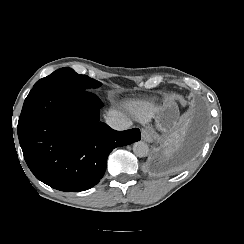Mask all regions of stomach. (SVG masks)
<instances>
[{
	"label": "stomach",
	"instance_id": "obj_1",
	"mask_svg": "<svg viewBox=\"0 0 244 244\" xmlns=\"http://www.w3.org/2000/svg\"><path fill=\"white\" fill-rule=\"evenodd\" d=\"M180 116L179 108L177 103L173 99H165L163 104L157 107L155 112V125L156 129L161 132V138L164 139V142L169 139L174 140L178 136H175L174 133L177 129V122ZM152 138L153 135L157 137L156 132L153 128H150Z\"/></svg>",
	"mask_w": 244,
	"mask_h": 244
}]
</instances>
